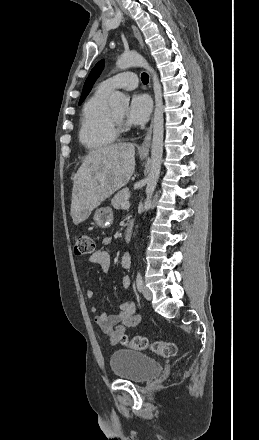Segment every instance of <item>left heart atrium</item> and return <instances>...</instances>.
I'll use <instances>...</instances> for the list:
<instances>
[{
  "mask_svg": "<svg viewBox=\"0 0 259 440\" xmlns=\"http://www.w3.org/2000/svg\"><path fill=\"white\" fill-rule=\"evenodd\" d=\"M152 102L146 94H134L131 98L126 120L131 125L144 124L151 113Z\"/></svg>",
  "mask_w": 259,
  "mask_h": 440,
  "instance_id": "39dd6f15",
  "label": "left heart atrium"
}]
</instances>
